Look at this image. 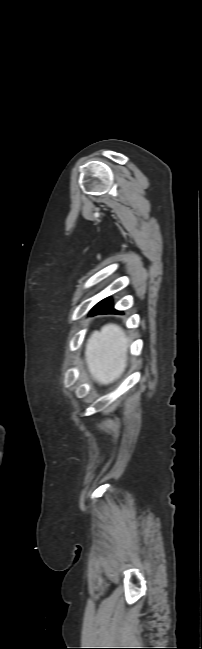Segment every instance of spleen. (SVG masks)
Listing matches in <instances>:
<instances>
[{
  "instance_id": "3e777b00",
  "label": "spleen",
  "mask_w": 202,
  "mask_h": 649,
  "mask_svg": "<svg viewBox=\"0 0 202 649\" xmlns=\"http://www.w3.org/2000/svg\"><path fill=\"white\" fill-rule=\"evenodd\" d=\"M128 338L114 324L94 332L86 346V360L91 375L102 384L120 377L126 367Z\"/></svg>"
}]
</instances>
